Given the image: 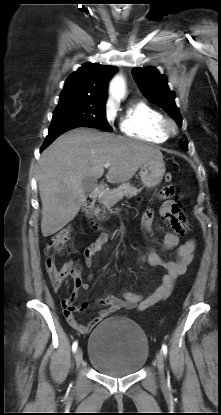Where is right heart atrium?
I'll return each instance as SVG.
<instances>
[{"instance_id":"obj_1","label":"right heart atrium","mask_w":221,"mask_h":415,"mask_svg":"<svg viewBox=\"0 0 221 415\" xmlns=\"http://www.w3.org/2000/svg\"><path fill=\"white\" fill-rule=\"evenodd\" d=\"M104 118L109 125H112L116 119V108L111 102L107 103L104 109Z\"/></svg>"}]
</instances>
